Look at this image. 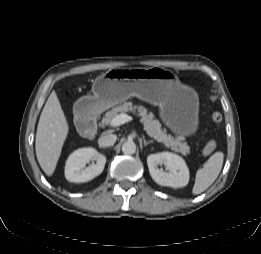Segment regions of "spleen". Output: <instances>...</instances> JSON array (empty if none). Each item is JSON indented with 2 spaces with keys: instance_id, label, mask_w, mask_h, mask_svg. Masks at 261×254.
Wrapping results in <instances>:
<instances>
[{
  "instance_id": "spleen-1",
  "label": "spleen",
  "mask_w": 261,
  "mask_h": 254,
  "mask_svg": "<svg viewBox=\"0 0 261 254\" xmlns=\"http://www.w3.org/2000/svg\"><path fill=\"white\" fill-rule=\"evenodd\" d=\"M224 154L216 152L205 163L204 167L196 173L195 184L192 189L198 195L208 189L217 179L223 165Z\"/></svg>"
}]
</instances>
